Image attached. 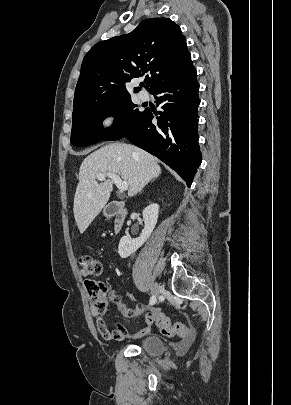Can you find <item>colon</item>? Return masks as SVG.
Masks as SVG:
<instances>
[{
  "instance_id": "colon-1",
  "label": "colon",
  "mask_w": 291,
  "mask_h": 405,
  "mask_svg": "<svg viewBox=\"0 0 291 405\" xmlns=\"http://www.w3.org/2000/svg\"><path fill=\"white\" fill-rule=\"evenodd\" d=\"M102 269L101 262L92 255L83 254L79 257V271L85 278V287L92 303V309L98 314H102L107 305L106 293L108 286L96 279L102 274ZM148 315L164 336L177 337L184 340L192 337V332L186 325L182 323L172 324L160 308L152 307Z\"/></svg>"
}]
</instances>
